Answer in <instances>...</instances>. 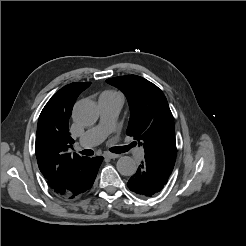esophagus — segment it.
<instances>
[{
    "label": "esophagus",
    "mask_w": 246,
    "mask_h": 246,
    "mask_svg": "<svg viewBox=\"0 0 246 246\" xmlns=\"http://www.w3.org/2000/svg\"><path fill=\"white\" fill-rule=\"evenodd\" d=\"M104 157L105 158H109V159H116V158L120 157V155L119 154L110 153V152H106V153H104Z\"/></svg>",
    "instance_id": "34e87169"
}]
</instances>
